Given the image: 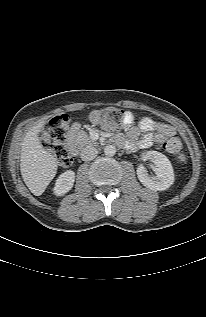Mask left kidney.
<instances>
[{
    "label": "left kidney",
    "instance_id": "1",
    "mask_svg": "<svg viewBox=\"0 0 206 317\" xmlns=\"http://www.w3.org/2000/svg\"><path fill=\"white\" fill-rule=\"evenodd\" d=\"M143 160L153 163L155 176H150L143 165L137 168L139 181L147 188L154 191H164L174 182V172L169 159L158 151H147L142 153Z\"/></svg>",
    "mask_w": 206,
    "mask_h": 317
}]
</instances>
